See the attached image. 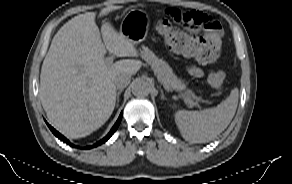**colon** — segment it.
<instances>
[{
	"mask_svg": "<svg viewBox=\"0 0 292 184\" xmlns=\"http://www.w3.org/2000/svg\"><path fill=\"white\" fill-rule=\"evenodd\" d=\"M174 24L187 28H213L215 23L206 14L199 11H180L171 9L167 18L157 21L158 32L163 36L169 47L177 52L195 57L201 63H214L220 57V50L212 42L195 36H190L180 31ZM225 74L222 71H211L207 76L209 85L221 92Z\"/></svg>",
	"mask_w": 292,
	"mask_h": 184,
	"instance_id": "obj_1",
	"label": "colon"
}]
</instances>
